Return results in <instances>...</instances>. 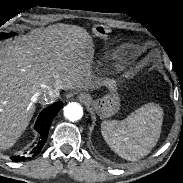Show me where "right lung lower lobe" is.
I'll return each instance as SVG.
<instances>
[{
	"mask_svg": "<svg viewBox=\"0 0 183 183\" xmlns=\"http://www.w3.org/2000/svg\"><path fill=\"white\" fill-rule=\"evenodd\" d=\"M62 106H63L62 102L54 103L49 107L45 108L44 110H42L40 115L38 116L34 129L40 134L41 141L38 144L37 150L34 155L39 153L42 147L44 146L49 132L50 124L53 118L58 113V111L62 108Z\"/></svg>",
	"mask_w": 183,
	"mask_h": 183,
	"instance_id": "obj_1",
	"label": "right lung lower lobe"
}]
</instances>
